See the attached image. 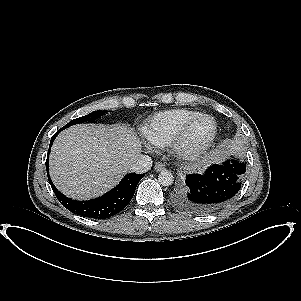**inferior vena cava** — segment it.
<instances>
[{
	"instance_id": "1",
	"label": "inferior vena cava",
	"mask_w": 301,
	"mask_h": 301,
	"mask_svg": "<svg viewBox=\"0 0 301 301\" xmlns=\"http://www.w3.org/2000/svg\"><path fill=\"white\" fill-rule=\"evenodd\" d=\"M152 159L148 155H139L131 164L129 170L133 173H146L152 167Z\"/></svg>"
}]
</instances>
